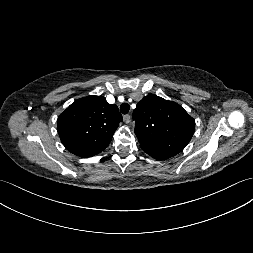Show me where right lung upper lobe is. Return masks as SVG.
I'll list each match as a JSON object with an SVG mask.
<instances>
[{"mask_svg":"<svg viewBox=\"0 0 253 253\" xmlns=\"http://www.w3.org/2000/svg\"><path fill=\"white\" fill-rule=\"evenodd\" d=\"M123 120L115 104L103 96H87L74 101L58 117V133L68 151L80 157L102 152Z\"/></svg>","mask_w":253,"mask_h":253,"instance_id":"cb5924a9","label":"right lung upper lobe"}]
</instances>
